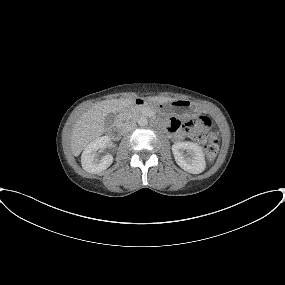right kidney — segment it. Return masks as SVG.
Returning a JSON list of instances; mask_svg holds the SVG:
<instances>
[{"mask_svg":"<svg viewBox=\"0 0 285 285\" xmlns=\"http://www.w3.org/2000/svg\"><path fill=\"white\" fill-rule=\"evenodd\" d=\"M111 139L108 136H102L89 143L81 156L82 168L91 174H98L106 170L113 162V156L107 154L101 159L97 157V151L110 146Z\"/></svg>","mask_w":285,"mask_h":285,"instance_id":"right-kidney-1","label":"right kidney"}]
</instances>
